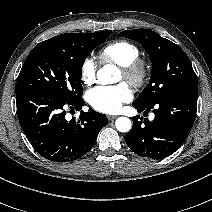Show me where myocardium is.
Masks as SVG:
<instances>
[{"instance_id":"f54148a6","label":"myocardium","mask_w":212,"mask_h":212,"mask_svg":"<svg viewBox=\"0 0 212 212\" xmlns=\"http://www.w3.org/2000/svg\"><path fill=\"white\" fill-rule=\"evenodd\" d=\"M124 80L134 87L140 88L146 84L150 75V67L146 60L136 58L127 65L121 66Z\"/></svg>"}]
</instances>
